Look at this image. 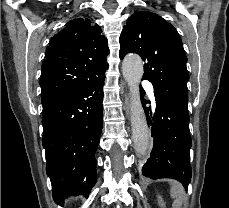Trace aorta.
Instances as JSON below:
<instances>
[{"instance_id":"aorta-1","label":"aorta","mask_w":229,"mask_h":208,"mask_svg":"<svg viewBox=\"0 0 229 208\" xmlns=\"http://www.w3.org/2000/svg\"><path fill=\"white\" fill-rule=\"evenodd\" d=\"M125 81L129 86L131 99V127L136 153L140 157L148 154L149 128L140 99V81L143 76V63L138 55H128L122 63Z\"/></svg>"}]
</instances>
